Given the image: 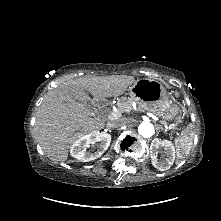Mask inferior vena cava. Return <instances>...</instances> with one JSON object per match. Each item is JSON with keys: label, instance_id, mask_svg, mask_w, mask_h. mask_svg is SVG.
I'll return each mask as SVG.
<instances>
[{"label": "inferior vena cava", "instance_id": "602c4592", "mask_svg": "<svg viewBox=\"0 0 221 221\" xmlns=\"http://www.w3.org/2000/svg\"><path fill=\"white\" fill-rule=\"evenodd\" d=\"M126 125V120L125 119H119L115 122L112 123V127L118 128V127H123Z\"/></svg>", "mask_w": 221, "mask_h": 221}]
</instances>
